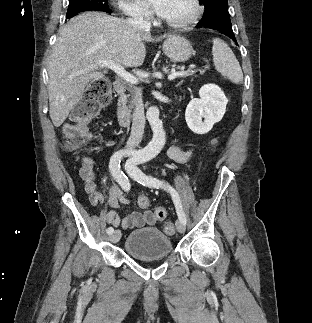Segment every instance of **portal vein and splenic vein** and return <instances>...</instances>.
<instances>
[{
  "instance_id": "18ae733b",
  "label": "portal vein and splenic vein",
  "mask_w": 312,
  "mask_h": 323,
  "mask_svg": "<svg viewBox=\"0 0 312 323\" xmlns=\"http://www.w3.org/2000/svg\"><path fill=\"white\" fill-rule=\"evenodd\" d=\"M99 66L100 68H110V70H113L117 76H120V78H123L126 82H130V84H137V78L131 76L129 72H126V70H124L122 66H118V64H112V62H104V60H100ZM92 68H97V66H92ZM188 72H191V70H187V72H172V74L168 76V80H175L177 76H189Z\"/></svg>"
}]
</instances>
